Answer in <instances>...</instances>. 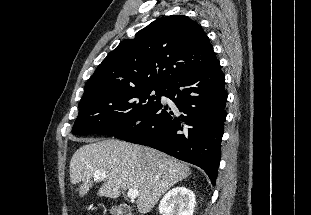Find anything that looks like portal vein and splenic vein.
Here are the masks:
<instances>
[{"label": "portal vein and splenic vein", "mask_w": 311, "mask_h": 215, "mask_svg": "<svg viewBox=\"0 0 311 215\" xmlns=\"http://www.w3.org/2000/svg\"><path fill=\"white\" fill-rule=\"evenodd\" d=\"M93 177H94L95 181H98V180H101L103 178H106L107 175L103 171H96L94 173ZM127 196L131 200H135L137 198V196H138V190L137 189H129L128 192H127Z\"/></svg>", "instance_id": "1"}]
</instances>
